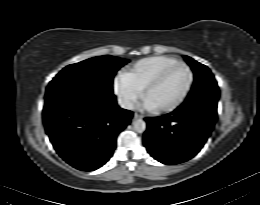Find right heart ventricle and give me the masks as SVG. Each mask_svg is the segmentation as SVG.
<instances>
[{"label": "right heart ventricle", "mask_w": 260, "mask_h": 205, "mask_svg": "<svg viewBox=\"0 0 260 205\" xmlns=\"http://www.w3.org/2000/svg\"><path fill=\"white\" fill-rule=\"evenodd\" d=\"M177 61L176 58L165 55L146 57L136 62L123 77L131 85L142 90L158 71Z\"/></svg>", "instance_id": "1"}]
</instances>
